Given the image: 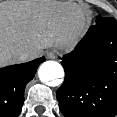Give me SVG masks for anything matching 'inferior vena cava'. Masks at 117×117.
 Listing matches in <instances>:
<instances>
[{"instance_id": "602c4592", "label": "inferior vena cava", "mask_w": 117, "mask_h": 117, "mask_svg": "<svg viewBox=\"0 0 117 117\" xmlns=\"http://www.w3.org/2000/svg\"><path fill=\"white\" fill-rule=\"evenodd\" d=\"M30 54H32V51H26L25 53L22 54L23 57H27Z\"/></svg>"}]
</instances>
